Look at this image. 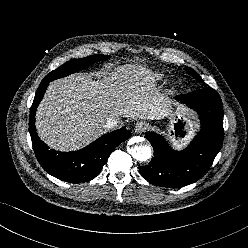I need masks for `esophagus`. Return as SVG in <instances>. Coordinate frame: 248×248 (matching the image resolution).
Instances as JSON below:
<instances>
[{
  "mask_svg": "<svg viewBox=\"0 0 248 248\" xmlns=\"http://www.w3.org/2000/svg\"><path fill=\"white\" fill-rule=\"evenodd\" d=\"M147 129V124L143 121H139L135 124L134 130L136 133H142Z\"/></svg>",
  "mask_w": 248,
  "mask_h": 248,
  "instance_id": "obj_1",
  "label": "esophagus"
}]
</instances>
